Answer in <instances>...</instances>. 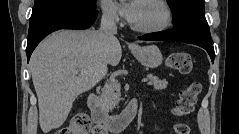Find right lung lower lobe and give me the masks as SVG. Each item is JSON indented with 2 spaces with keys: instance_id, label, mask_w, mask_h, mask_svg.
Masks as SVG:
<instances>
[{
  "instance_id": "right-lung-lower-lobe-1",
  "label": "right lung lower lobe",
  "mask_w": 239,
  "mask_h": 134,
  "mask_svg": "<svg viewBox=\"0 0 239 134\" xmlns=\"http://www.w3.org/2000/svg\"><path fill=\"white\" fill-rule=\"evenodd\" d=\"M97 15L96 9L63 4L31 17L26 48L28 61L35 47L51 32L59 29H86L95 22Z\"/></svg>"
}]
</instances>
